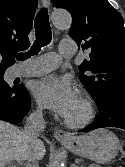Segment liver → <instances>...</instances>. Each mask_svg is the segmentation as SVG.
I'll list each match as a JSON object with an SVG mask.
<instances>
[{
	"instance_id": "liver-1",
	"label": "liver",
	"mask_w": 125,
	"mask_h": 167,
	"mask_svg": "<svg viewBox=\"0 0 125 167\" xmlns=\"http://www.w3.org/2000/svg\"><path fill=\"white\" fill-rule=\"evenodd\" d=\"M44 154V144L40 140L30 143L18 127L0 120V163L16 167L13 162L20 163L32 155L41 159Z\"/></svg>"
}]
</instances>
